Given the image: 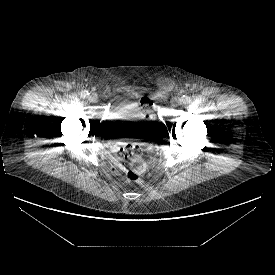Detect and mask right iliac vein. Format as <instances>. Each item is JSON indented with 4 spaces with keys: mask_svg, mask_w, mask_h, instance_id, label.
I'll use <instances>...</instances> for the list:
<instances>
[{
    "mask_svg": "<svg viewBox=\"0 0 275 275\" xmlns=\"http://www.w3.org/2000/svg\"><path fill=\"white\" fill-rule=\"evenodd\" d=\"M97 96L95 94H91L89 97H88V100L92 103H95L97 102Z\"/></svg>",
    "mask_w": 275,
    "mask_h": 275,
    "instance_id": "63e3f726",
    "label": "right iliac vein"
}]
</instances>
